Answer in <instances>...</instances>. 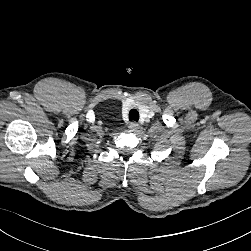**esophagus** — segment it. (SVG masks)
<instances>
[{
  "instance_id": "34e87169",
  "label": "esophagus",
  "mask_w": 251,
  "mask_h": 251,
  "mask_svg": "<svg viewBox=\"0 0 251 251\" xmlns=\"http://www.w3.org/2000/svg\"><path fill=\"white\" fill-rule=\"evenodd\" d=\"M129 128L131 131H136L139 128V125L136 122H131Z\"/></svg>"
}]
</instances>
